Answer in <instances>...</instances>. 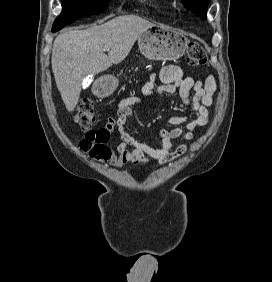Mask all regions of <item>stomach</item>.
<instances>
[{
    "mask_svg": "<svg viewBox=\"0 0 272 282\" xmlns=\"http://www.w3.org/2000/svg\"><path fill=\"white\" fill-rule=\"evenodd\" d=\"M138 46L142 55L149 60H176L187 47V39L179 32L164 25H153L138 36ZM104 93H112L118 86L113 75L103 78Z\"/></svg>",
    "mask_w": 272,
    "mask_h": 282,
    "instance_id": "1",
    "label": "stomach"
}]
</instances>
